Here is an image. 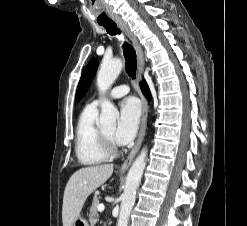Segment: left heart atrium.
Returning a JSON list of instances; mask_svg holds the SVG:
<instances>
[{
  "label": "left heart atrium",
  "instance_id": "39dd6f15",
  "mask_svg": "<svg viewBox=\"0 0 247 226\" xmlns=\"http://www.w3.org/2000/svg\"><path fill=\"white\" fill-rule=\"evenodd\" d=\"M141 115V106L134 97L124 99L120 104L119 119L113 133V140L125 145L135 137Z\"/></svg>",
  "mask_w": 247,
  "mask_h": 226
}]
</instances>
